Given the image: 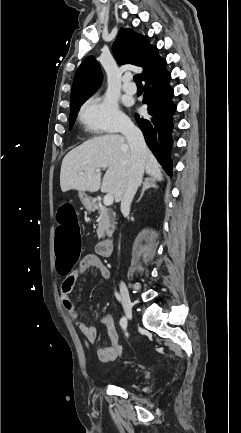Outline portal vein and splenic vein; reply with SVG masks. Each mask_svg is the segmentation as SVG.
<instances>
[{
  "label": "portal vein and splenic vein",
  "mask_w": 241,
  "mask_h": 433,
  "mask_svg": "<svg viewBox=\"0 0 241 433\" xmlns=\"http://www.w3.org/2000/svg\"><path fill=\"white\" fill-rule=\"evenodd\" d=\"M96 172H100V170L97 169ZM80 174L83 175L84 172H81ZM113 201H114V197H113L112 194H107V195L104 196L103 203H104L105 206L112 205Z\"/></svg>",
  "instance_id": "obj_1"
}]
</instances>
